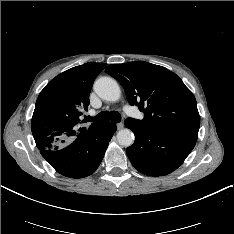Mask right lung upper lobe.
I'll list each match as a JSON object with an SVG mask.
<instances>
[{
  "mask_svg": "<svg viewBox=\"0 0 234 234\" xmlns=\"http://www.w3.org/2000/svg\"><path fill=\"white\" fill-rule=\"evenodd\" d=\"M105 63H85L52 79L40 92L31 121L32 134L40 150L59 149L89 128L81 127V110H87L89 94ZM83 122V121H82Z\"/></svg>",
  "mask_w": 234,
  "mask_h": 234,
  "instance_id": "cb5924a9",
  "label": "right lung upper lobe"
}]
</instances>
